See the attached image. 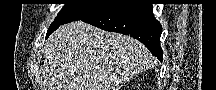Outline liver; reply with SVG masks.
<instances>
[{
	"label": "liver",
	"instance_id": "liver-1",
	"mask_svg": "<svg viewBox=\"0 0 216 90\" xmlns=\"http://www.w3.org/2000/svg\"><path fill=\"white\" fill-rule=\"evenodd\" d=\"M44 54L52 90H121L152 60L138 40L84 22L58 28Z\"/></svg>",
	"mask_w": 216,
	"mask_h": 90
}]
</instances>
